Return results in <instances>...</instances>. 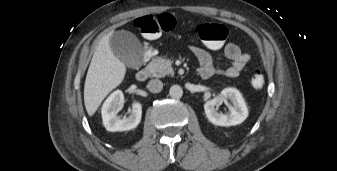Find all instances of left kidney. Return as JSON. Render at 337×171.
<instances>
[{
  "instance_id": "5707ae66",
  "label": "left kidney",
  "mask_w": 337,
  "mask_h": 171,
  "mask_svg": "<svg viewBox=\"0 0 337 171\" xmlns=\"http://www.w3.org/2000/svg\"><path fill=\"white\" fill-rule=\"evenodd\" d=\"M229 99V113H219L215 106L222 100ZM204 110L208 120L218 126H234L241 124L248 116V109L241 93L235 88H225L221 94L204 104Z\"/></svg>"
}]
</instances>
